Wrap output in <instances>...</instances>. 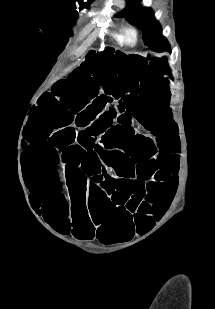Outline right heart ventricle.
I'll list each match as a JSON object with an SVG mask.
<instances>
[{"instance_id":"right-heart-ventricle-1","label":"right heart ventricle","mask_w":215,"mask_h":309,"mask_svg":"<svg viewBox=\"0 0 215 309\" xmlns=\"http://www.w3.org/2000/svg\"><path fill=\"white\" fill-rule=\"evenodd\" d=\"M108 28H111V25H108ZM112 36L118 44L122 45V39H121V36H120V32H118V31L113 32Z\"/></svg>"}]
</instances>
